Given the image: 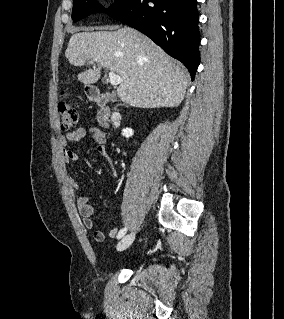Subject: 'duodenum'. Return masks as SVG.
<instances>
[{"instance_id": "410a0bca", "label": "duodenum", "mask_w": 284, "mask_h": 319, "mask_svg": "<svg viewBox=\"0 0 284 319\" xmlns=\"http://www.w3.org/2000/svg\"><path fill=\"white\" fill-rule=\"evenodd\" d=\"M89 96L99 106V111H98L99 123L104 127L109 126L110 115H111L110 109L108 106L109 95L105 93H101L99 90L92 87L89 89Z\"/></svg>"}]
</instances>
